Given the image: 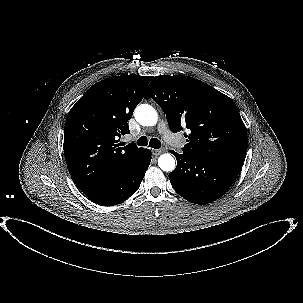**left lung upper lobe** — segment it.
<instances>
[{
  "instance_id": "1",
  "label": "left lung upper lobe",
  "mask_w": 303,
  "mask_h": 303,
  "mask_svg": "<svg viewBox=\"0 0 303 303\" xmlns=\"http://www.w3.org/2000/svg\"><path fill=\"white\" fill-rule=\"evenodd\" d=\"M145 98L161 107L171 131L190 129L183 154L244 162L247 129L228 96L192 77L164 75L154 77Z\"/></svg>"
}]
</instances>
